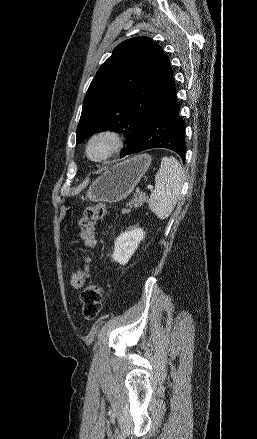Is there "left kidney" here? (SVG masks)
<instances>
[{"instance_id":"left-kidney-1","label":"left kidney","mask_w":257,"mask_h":439,"mask_svg":"<svg viewBox=\"0 0 257 439\" xmlns=\"http://www.w3.org/2000/svg\"><path fill=\"white\" fill-rule=\"evenodd\" d=\"M145 232L141 228H135L121 233L115 240L112 258L121 265L128 263Z\"/></svg>"}]
</instances>
